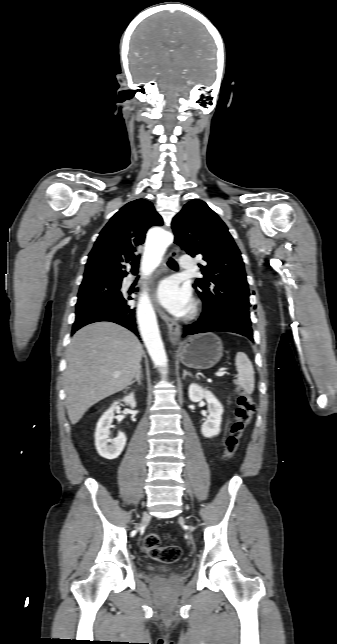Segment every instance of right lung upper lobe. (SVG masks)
<instances>
[{
    "label": "right lung upper lobe",
    "instance_id": "right-lung-upper-lobe-1",
    "mask_svg": "<svg viewBox=\"0 0 337 644\" xmlns=\"http://www.w3.org/2000/svg\"><path fill=\"white\" fill-rule=\"evenodd\" d=\"M162 224L150 201L137 199L123 206L100 232L89 253L83 281L122 279L127 275V264L132 265L131 271L137 270V247L144 243L150 227Z\"/></svg>",
    "mask_w": 337,
    "mask_h": 644
}]
</instances>
